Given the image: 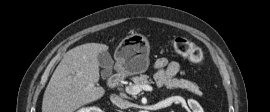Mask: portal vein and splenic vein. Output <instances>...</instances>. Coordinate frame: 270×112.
Listing matches in <instances>:
<instances>
[{
    "label": "portal vein and splenic vein",
    "mask_w": 270,
    "mask_h": 112,
    "mask_svg": "<svg viewBox=\"0 0 270 112\" xmlns=\"http://www.w3.org/2000/svg\"><path fill=\"white\" fill-rule=\"evenodd\" d=\"M126 92L128 94H131V95H135V94H138L140 93L142 90H145V91H152L153 88L152 86H149V85H142V86H139V85H129L125 88Z\"/></svg>",
    "instance_id": "1"
}]
</instances>
